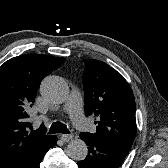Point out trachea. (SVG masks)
I'll return each instance as SVG.
<instances>
[{
    "label": "trachea",
    "instance_id": "obj_1",
    "mask_svg": "<svg viewBox=\"0 0 168 168\" xmlns=\"http://www.w3.org/2000/svg\"><path fill=\"white\" fill-rule=\"evenodd\" d=\"M55 133L69 134L70 132L65 124L61 123L60 121H57L54 122L49 129V134H55Z\"/></svg>",
    "mask_w": 168,
    "mask_h": 168
}]
</instances>
